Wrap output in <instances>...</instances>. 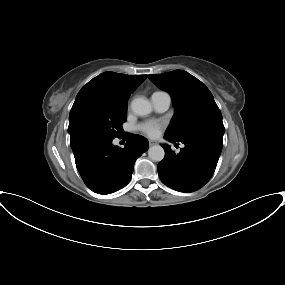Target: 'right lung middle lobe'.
Returning <instances> with one entry per match:
<instances>
[{
    "instance_id": "obj_1",
    "label": "right lung middle lobe",
    "mask_w": 285,
    "mask_h": 285,
    "mask_svg": "<svg viewBox=\"0 0 285 285\" xmlns=\"http://www.w3.org/2000/svg\"><path fill=\"white\" fill-rule=\"evenodd\" d=\"M127 108L84 104L69 116L70 144L86 139L112 140L122 134Z\"/></svg>"
}]
</instances>
